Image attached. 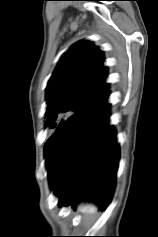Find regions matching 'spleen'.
<instances>
[{"label": "spleen", "mask_w": 158, "mask_h": 237, "mask_svg": "<svg viewBox=\"0 0 158 237\" xmlns=\"http://www.w3.org/2000/svg\"><path fill=\"white\" fill-rule=\"evenodd\" d=\"M80 209L85 208V215L86 217L91 216L96 212V207L93 205H81Z\"/></svg>", "instance_id": "3e777b00"}]
</instances>
